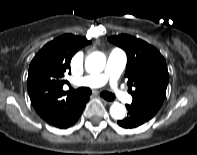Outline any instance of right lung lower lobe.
<instances>
[{"label":"right lung lower lobe","mask_w":197,"mask_h":155,"mask_svg":"<svg viewBox=\"0 0 197 155\" xmlns=\"http://www.w3.org/2000/svg\"><path fill=\"white\" fill-rule=\"evenodd\" d=\"M88 100L89 97H83L79 102V104L74 108L72 113L69 115V117L61 125H59L58 128L64 129L73 125L79 119Z\"/></svg>","instance_id":"obj_1"}]
</instances>
